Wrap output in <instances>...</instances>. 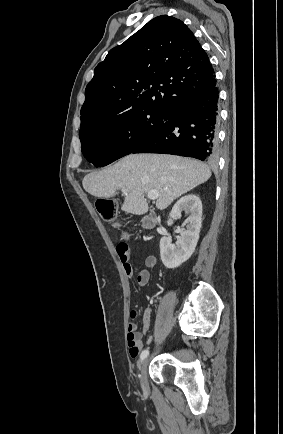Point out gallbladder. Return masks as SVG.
<instances>
[{"label": "gallbladder", "instance_id": "bac80fb5", "mask_svg": "<svg viewBox=\"0 0 283 434\" xmlns=\"http://www.w3.org/2000/svg\"><path fill=\"white\" fill-rule=\"evenodd\" d=\"M142 226L147 229H151L155 226V218L154 216H146L142 219Z\"/></svg>", "mask_w": 283, "mask_h": 434}]
</instances>
